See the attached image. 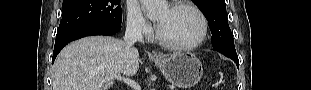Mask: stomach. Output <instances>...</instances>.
<instances>
[{"label": "stomach", "mask_w": 311, "mask_h": 90, "mask_svg": "<svg viewBox=\"0 0 311 90\" xmlns=\"http://www.w3.org/2000/svg\"><path fill=\"white\" fill-rule=\"evenodd\" d=\"M164 77L179 88H190L198 83L203 74L202 64L191 53H174L154 58Z\"/></svg>", "instance_id": "1"}]
</instances>
